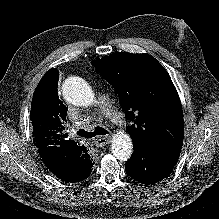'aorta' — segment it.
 I'll return each mask as SVG.
<instances>
[{
    "label": "aorta",
    "instance_id": "obj_1",
    "mask_svg": "<svg viewBox=\"0 0 219 219\" xmlns=\"http://www.w3.org/2000/svg\"><path fill=\"white\" fill-rule=\"evenodd\" d=\"M64 99L76 106L87 107L94 103L95 94L87 82L80 78H69L62 85ZM113 155L120 161H127L133 153V143L129 134L117 132L111 141Z\"/></svg>",
    "mask_w": 219,
    "mask_h": 219
}]
</instances>
